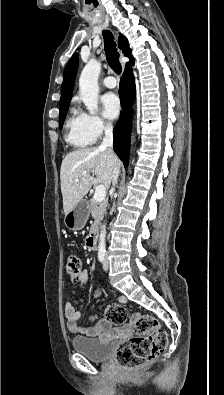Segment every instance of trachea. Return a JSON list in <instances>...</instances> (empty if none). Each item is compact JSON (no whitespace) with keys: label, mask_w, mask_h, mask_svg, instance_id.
Instances as JSON below:
<instances>
[{"label":"trachea","mask_w":224,"mask_h":395,"mask_svg":"<svg viewBox=\"0 0 224 395\" xmlns=\"http://www.w3.org/2000/svg\"><path fill=\"white\" fill-rule=\"evenodd\" d=\"M102 34L108 64L116 74H120L122 68L119 62V53L116 48V43L114 42V36L109 30H104Z\"/></svg>","instance_id":"1"}]
</instances>
